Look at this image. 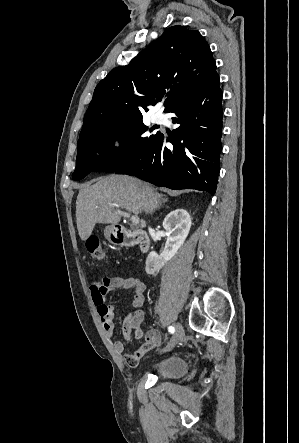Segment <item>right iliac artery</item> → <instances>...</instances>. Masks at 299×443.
I'll return each instance as SVG.
<instances>
[{"mask_svg":"<svg viewBox=\"0 0 299 443\" xmlns=\"http://www.w3.org/2000/svg\"><path fill=\"white\" fill-rule=\"evenodd\" d=\"M168 330H169L170 333H174L175 328H174L173 326H169V327H168Z\"/></svg>","mask_w":299,"mask_h":443,"instance_id":"right-iliac-artery-1","label":"right iliac artery"}]
</instances>
